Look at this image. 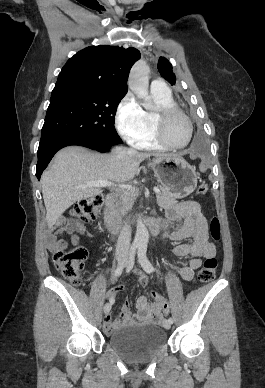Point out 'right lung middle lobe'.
Listing matches in <instances>:
<instances>
[{"label": "right lung middle lobe", "mask_w": 265, "mask_h": 388, "mask_svg": "<svg viewBox=\"0 0 265 388\" xmlns=\"http://www.w3.org/2000/svg\"><path fill=\"white\" fill-rule=\"evenodd\" d=\"M117 90H73L52 93L41 140L77 134L96 143H123L114 127L117 106L125 96Z\"/></svg>", "instance_id": "right-lung-middle-lobe-1"}]
</instances>
